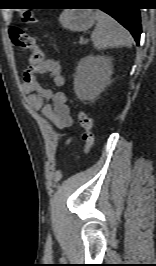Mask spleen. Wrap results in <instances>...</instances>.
Masks as SVG:
<instances>
[{
  "label": "spleen",
  "mask_w": 156,
  "mask_h": 266,
  "mask_svg": "<svg viewBox=\"0 0 156 266\" xmlns=\"http://www.w3.org/2000/svg\"><path fill=\"white\" fill-rule=\"evenodd\" d=\"M95 17L97 25L91 39L97 50L131 46L130 34L117 21L101 10L95 11Z\"/></svg>",
  "instance_id": "3e777b00"
}]
</instances>
